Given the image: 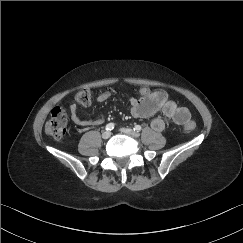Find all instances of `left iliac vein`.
I'll return each instance as SVG.
<instances>
[{
    "instance_id": "left-iliac-vein-1",
    "label": "left iliac vein",
    "mask_w": 243,
    "mask_h": 243,
    "mask_svg": "<svg viewBox=\"0 0 243 243\" xmlns=\"http://www.w3.org/2000/svg\"><path fill=\"white\" fill-rule=\"evenodd\" d=\"M120 131L132 137H139V133L130 128H121Z\"/></svg>"
}]
</instances>
